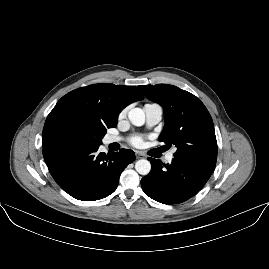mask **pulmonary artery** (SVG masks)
<instances>
[{
  "label": "pulmonary artery",
  "mask_w": 269,
  "mask_h": 269,
  "mask_svg": "<svg viewBox=\"0 0 269 269\" xmlns=\"http://www.w3.org/2000/svg\"><path fill=\"white\" fill-rule=\"evenodd\" d=\"M144 113H145V118H146V126L148 128L155 127L162 120L163 110H162V107L158 104H146L144 106ZM118 141H120V138L116 136H109L104 139V143L106 145L115 143ZM175 150L176 149L169 152L165 156V161L167 163H170L172 161Z\"/></svg>",
  "instance_id": "e3ab8cb5"
}]
</instances>
